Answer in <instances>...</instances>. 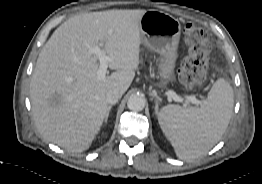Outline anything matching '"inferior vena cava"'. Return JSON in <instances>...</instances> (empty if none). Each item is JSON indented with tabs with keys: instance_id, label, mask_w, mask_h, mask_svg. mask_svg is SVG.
<instances>
[{
	"instance_id": "obj_1",
	"label": "inferior vena cava",
	"mask_w": 262,
	"mask_h": 184,
	"mask_svg": "<svg viewBox=\"0 0 262 184\" xmlns=\"http://www.w3.org/2000/svg\"><path fill=\"white\" fill-rule=\"evenodd\" d=\"M120 97L121 94L118 90H110L106 94V102L111 105L116 104L119 101Z\"/></svg>"
}]
</instances>
